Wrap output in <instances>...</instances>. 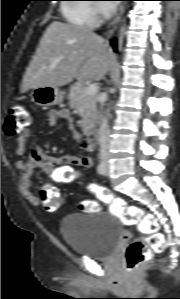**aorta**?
<instances>
[{"label": "aorta", "instance_id": "762f6f07", "mask_svg": "<svg viewBox=\"0 0 180 299\" xmlns=\"http://www.w3.org/2000/svg\"><path fill=\"white\" fill-rule=\"evenodd\" d=\"M124 34H125V25L122 26V28L120 29V35H119V48L121 50L122 48V43H123V39H124ZM110 110V109H109ZM108 110V112H109ZM109 114V113H108Z\"/></svg>", "mask_w": 180, "mask_h": 299}]
</instances>
